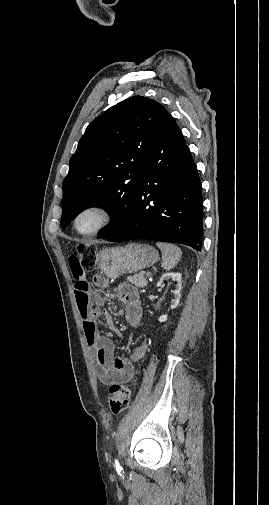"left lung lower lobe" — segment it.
<instances>
[{
  "label": "left lung lower lobe",
  "mask_w": 269,
  "mask_h": 505,
  "mask_svg": "<svg viewBox=\"0 0 269 505\" xmlns=\"http://www.w3.org/2000/svg\"><path fill=\"white\" fill-rule=\"evenodd\" d=\"M140 175L130 218L102 238L181 243L201 251V182L182 132L169 113L149 145Z\"/></svg>",
  "instance_id": "obj_1"
}]
</instances>
